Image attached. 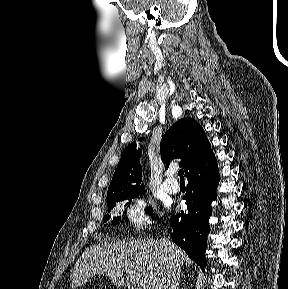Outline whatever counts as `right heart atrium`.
Instances as JSON below:
<instances>
[{
	"mask_svg": "<svg viewBox=\"0 0 288 289\" xmlns=\"http://www.w3.org/2000/svg\"><path fill=\"white\" fill-rule=\"evenodd\" d=\"M147 209V202L142 198H136L127 208L128 218L135 226H143L149 222Z\"/></svg>",
	"mask_w": 288,
	"mask_h": 289,
	"instance_id": "obj_1",
	"label": "right heart atrium"
}]
</instances>
